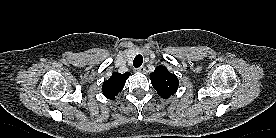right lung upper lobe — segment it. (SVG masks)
Masks as SVG:
<instances>
[{
    "label": "right lung upper lobe",
    "instance_id": "cb5924a9",
    "mask_svg": "<svg viewBox=\"0 0 276 138\" xmlns=\"http://www.w3.org/2000/svg\"><path fill=\"white\" fill-rule=\"evenodd\" d=\"M130 75L131 74L129 72H125L124 74L113 72L112 76L103 83L102 92L104 96L114 100L115 96H117L118 93L123 89L126 79Z\"/></svg>",
    "mask_w": 276,
    "mask_h": 138
}]
</instances>
